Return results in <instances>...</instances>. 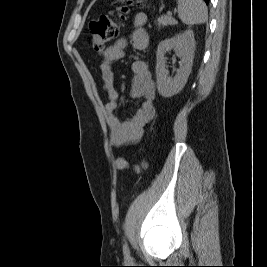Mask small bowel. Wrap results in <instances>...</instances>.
Instances as JSON below:
<instances>
[{
	"label": "small bowel",
	"mask_w": 267,
	"mask_h": 267,
	"mask_svg": "<svg viewBox=\"0 0 267 267\" xmlns=\"http://www.w3.org/2000/svg\"><path fill=\"white\" fill-rule=\"evenodd\" d=\"M146 22L147 16L142 12L136 13L132 19L131 43L137 50H145L149 43L148 33L145 29ZM126 46L127 41L119 39L114 45L108 47L103 54L100 65L103 89L108 96V102L104 105V113L110 128L111 142L115 147H124L138 142L144 134L145 127L155 115L156 88L154 80L148 65L142 60H136L132 63L134 77L131 95L142 98V106L127 121H121L117 116L116 109L119 94L112 65L124 57Z\"/></svg>",
	"instance_id": "1"
}]
</instances>
